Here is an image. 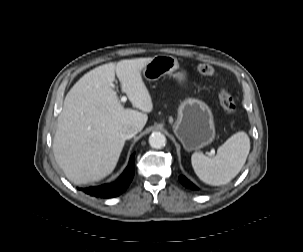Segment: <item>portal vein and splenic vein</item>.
Segmentation results:
<instances>
[{
    "mask_svg": "<svg viewBox=\"0 0 303 252\" xmlns=\"http://www.w3.org/2000/svg\"><path fill=\"white\" fill-rule=\"evenodd\" d=\"M121 101L122 102H126L127 101V97L126 96H122ZM212 153H213V151H212Z\"/></svg>",
    "mask_w": 303,
    "mask_h": 252,
    "instance_id": "obj_1",
    "label": "portal vein and splenic vein"
}]
</instances>
